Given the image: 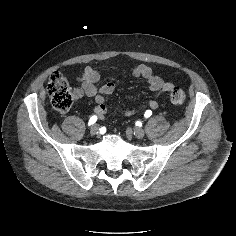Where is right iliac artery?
<instances>
[{"mask_svg": "<svg viewBox=\"0 0 236 236\" xmlns=\"http://www.w3.org/2000/svg\"><path fill=\"white\" fill-rule=\"evenodd\" d=\"M97 121V116L96 115H93L89 122H88V125L91 126L92 124H94L95 122Z\"/></svg>", "mask_w": 236, "mask_h": 236, "instance_id": "82829eb1", "label": "right iliac artery"}]
</instances>
